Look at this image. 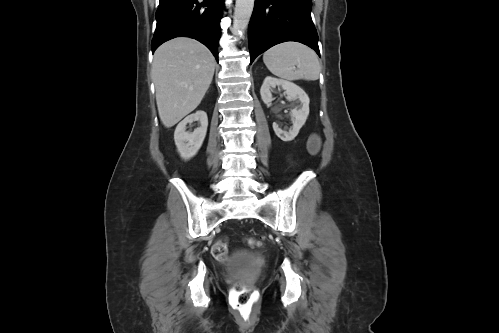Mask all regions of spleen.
Instances as JSON below:
<instances>
[{
	"instance_id": "spleen-1",
	"label": "spleen",
	"mask_w": 499,
	"mask_h": 333,
	"mask_svg": "<svg viewBox=\"0 0 499 333\" xmlns=\"http://www.w3.org/2000/svg\"><path fill=\"white\" fill-rule=\"evenodd\" d=\"M263 62L272 74L287 80L315 81L321 71L316 53L297 42H285L270 48L264 53Z\"/></svg>"
}]
</instances>
